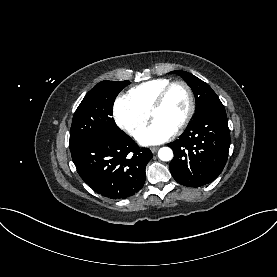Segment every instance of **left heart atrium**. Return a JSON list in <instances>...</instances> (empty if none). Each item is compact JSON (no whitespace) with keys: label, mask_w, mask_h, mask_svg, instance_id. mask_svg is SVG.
Returning <instances> with one entry per match:
<instances>
[{"label":"left heart atrium","mask_w":277,"mask_h":277,"mask_svg":"<svg viewBox=\"0 0 277 277\" xmlns=\"http://www.w3.org/2000/svg\"><path fill=\"white\" fill-rule=\"evenodd\" d=\"M176 128L162 120H154L148 127L141 130L137 140L142 145H156L165 142L174 135Z\"/></svg>","instance_id":"1"}]
</instances>
